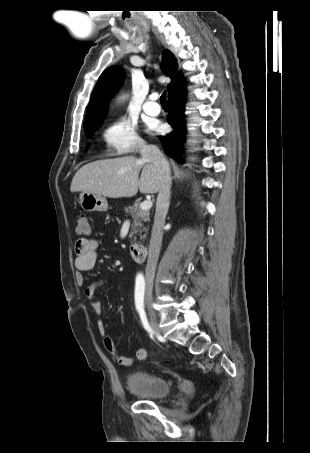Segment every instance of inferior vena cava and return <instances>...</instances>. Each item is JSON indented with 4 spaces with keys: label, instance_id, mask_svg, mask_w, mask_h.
I'll list each match as a JSON object with an SVG mask.
<instances>
[{
    "label": "inferior vena cava",
    "instance_id": "inferior-vena-cava-1",
    "mask_svg": "<svg viewBox=\"0 0 310 453\" xmlns=\"http://www.w3.org/2000/svg\"><path fill=\"white\" fill-rule=\"evenodd\" d=\"M143 161L152 162L161 170V187L157 196L156 211L151 233L149 254L145 269L146 277H154L155 270L161 250L163 227L170 204L171 175L168 160L155 145L143 144L141 147Z\"/></svg>",
    "mask_w": 310,
    "mask_h": 453
}]
</instances>
